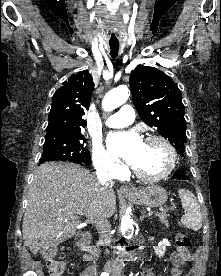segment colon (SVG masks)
I'll return each mask as SVG.
<instances>
[{
  "instance_id": "5ec220e1",
  "label": "colon",
  "mask_w": 221,
  "mask_h": 276,
  "mask_svg": "<svg viewBox=\"0 0 221 276\" xmlns=\"http://www.w3.org/2000/svg\"><path fill=\"white\" fill-rule=\"evenodd\" d=\"M176 245L179 249L188 250L192 246L191 240L183 233L176 236ZM50 276H64L65 263L61 260L55 259L57 248L55 246H45L41 250Z\"/></svg>"
}]
</instances>
